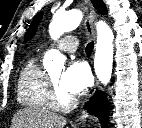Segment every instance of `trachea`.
Wrapping results in <instances>:
<instances>
[{
	"mask_svg": "<svg viewBox=\"0 0 142 128\" xmlns=\"http://www.w3.org/2000/svg\"><path fill=\"white\" fill-rule=\"evenodd\" d=\"M87 27H88V30L90 31V27H89L88 24H87ZM93 48H94L93 42L88 43L87 46H86V54L91 55Z\"/></svg>",
	"mask_w": 142,
	"mask_h": 128,
	"instance_id": "trachea-1",
	"label": "trachea"
}]
</instances>
